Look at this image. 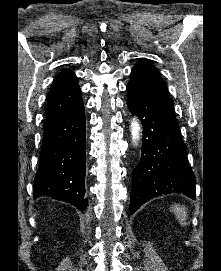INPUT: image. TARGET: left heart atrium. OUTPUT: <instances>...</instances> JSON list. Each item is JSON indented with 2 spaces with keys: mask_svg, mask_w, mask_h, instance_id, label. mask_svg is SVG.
Returning a JSON list of instances; mask_svg holds the SVG:
<instances>
[{
  "mask_svg": "<svg viewBox=\"0 0 221 271\" xmlns=\"http://www.w3.org/2000/svg\"><path fill=\"white\" fill-rule=\"evenodd\" d=\"M102 93H103V92H98L97 94H102ZM141 94H143V93H141ZM95 108H96V107H95ZM95 108H94V109H95Z\"/></svg>",
  "mask_w": 221,
  "mask_h": 271,
  "instance_id": "39dd6f15",
  "label": "left heart atrium"
}]
</instances>
